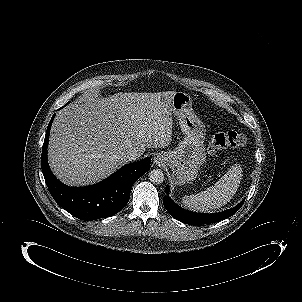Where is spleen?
Returning <instances> with one entry per match:
<instances>
[{
    "label": "spleen",
    "mask_w": 302,
    "mask_h": 302,
    "mask_svg": "<svg viewBox=\"0 0 302 302\" xmlns=\"http://www.w3.org/2000/svg\"><path fill=\"white\" fill-rule=\"evenodd\" d=\"M242 177L240 165H233L213 186L196 195L182 198V203L193 211L210 212L227 204L237 192Z\"/></svg>",
    "instance_id": "spleen-1"
}]
</instances>
